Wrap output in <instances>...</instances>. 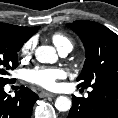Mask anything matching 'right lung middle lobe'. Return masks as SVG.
<instances>
[{
    "mask_svg": "<svg viewBox=\"0 0 118 118\" xmlns=\"http://www.w3.org/2000/svg\"><path fill=\"white\" fill-rule=\"evenodd\" d=\"M26 41L22 36L0 29V85L11 82L9 71L18 66L17 52Z\"/></svg>",
    "mask_w": 118,
    "mask_h": 118,
    "instance_id": "dd1d6c3e",
    "label": "right lung middle lobe"
}]
</instances>
